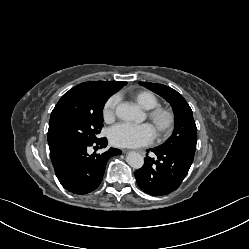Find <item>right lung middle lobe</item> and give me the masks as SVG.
I'll return each mask as SVG.
<instances>
[{
  "label": "right lung middle lobe",
  "mask_w": 249,
  "mask_h": 249,
  "mask_svg": "<svg viewBox=\"0 0 249 249\" xmlns=\"http://www.w3.org/2000/svg\"><path fill=\"white\" fill-rule=\"evenodd\" d=\"M109 96L99 94L92 98V106L82 112L63 117L56 128L60 147L65 150L95 142L103 126V107Z\"/></svg>",
  "instance_id": "dd1d6c3e"
}]
</instances>
